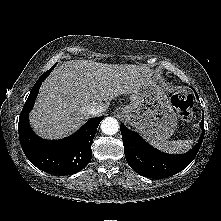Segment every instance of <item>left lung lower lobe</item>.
I'll return each instance as SVG.
<instances>
[{"instance_id":"obj_1","label":"left lung lower lobe","mask_w":221,"mask_h":221,"mask_svg":"<svg viewBox=\"0 0 221 221\" xmlns=\"http://www.w3.org/2000/svg\"><path fill=\"white\" fill-rule=\"evenodd\" d=\"M200 127L202 134L198 143L187 153L172 155L155 149L138 133L127 129L121 123L120 129L126 160L133 170L145 177L162 179L172 176L186 168L198 153L204 137V115Z\"/></svg>"}]
</instances>
